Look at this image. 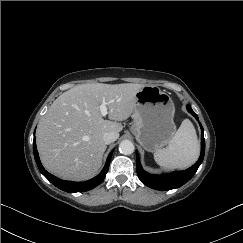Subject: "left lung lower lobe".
<instances>
[{"mask_svg": "<svg viewBox=\"0 0 243 243\" xmlns=\"http://www.w3.org/2000/svg\"><path fill=\"white\" fill-rule=\"evenodd\" d=\"M186 108L188 112L191 113L198 120V116L192 110L191 106L187 105ZM199 124L201 127V154L198 161L192 167L184 171H174L169 174H163V175H151L143 170L139 161V156L136 153V171L139 179L143 184L156 190L165 191V190L178 188L184 185L187 181H189L193 177V175L196 173L197 169L199 168L200 164L202 163L204 158V153H205L204 131L200 122Z\"/></svg>", "mask_w": 243, "mask_h": 243, "instance_id": "1", "label": "left lung lower lobe"}]
</instances>
